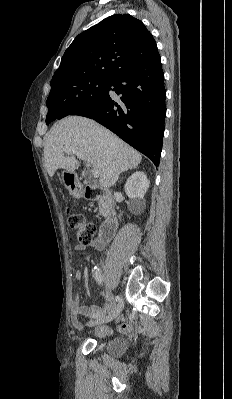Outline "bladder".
I'll return each instance as SVG.
<instances>
[{"label":"bladder","mask_w":232,"mask_h":399,"mask_svg":"<svg viewBox=\"0 0 232 399\" xmlns=\"http://www.w3.org/2000/svg\"><path fill=\"white\" fill-rule=\"evenodd\" d=\"M128 343L123 338H115L103 346V351L108 357L117 358L127 351Z\"/></svg>","instance_id":"bladder-1"}]
</instances>
